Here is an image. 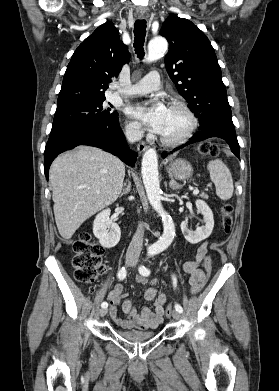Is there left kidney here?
<instances>
[{
	"instance_id": "5707ae66",
	"label": "left kidney",
	"mask_w": 279,
	"mask_h": 391,
	"mask_svg": "<svg viewBox=\"0 0 279 391\" xmlns=\"http://www.w3.org/2000/svg\"><path fill=\"white\" fill-rule=\"evenodd\" d=\"M196 207L203 214L205 224L201 227H197V229L193 232L187 228V224L185 222L181 223L182 233L185 239L191 244H197L208 238L214 227V218L210 207L203 200H196Z\"/></svg>"
}]
</instances>
